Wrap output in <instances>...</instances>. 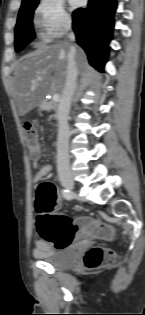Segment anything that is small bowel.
I'll list each match as a JSON object with an SVG mask.
<instances>
[{
  "mask_svg": "<svg viewBox=\"0 0 145 315\" xmlns=\"http://www.w3.org/2000/svg\"><path fill=\"white\" fill-rule=\"evenodd\" d=\"M34 164H36V159H34ZM53 168L51 165H44L41 167L36 176L35 181H39L45 177H48L52 174ZM59 203L60 200H57ZM55 245L47 240L39 239L36 241L35 247H34V255L39 258H45L54 253V247Z\"/></svg>",
  "mask_w": 145,
  "mask_h": 315,
  "instance_id": "c3829d8e",
  "label": "small bowel"
}]
</instances>
